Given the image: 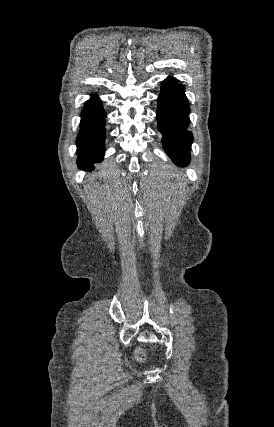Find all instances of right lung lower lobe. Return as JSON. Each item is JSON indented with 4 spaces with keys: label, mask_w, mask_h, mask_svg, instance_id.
<instances>
[{
    "label": "right lung lower lobe",
    "mask_w": 274,
    "mask_h": 427,
    "mask_svg": "<svg viewBox=\"0 0 274 427\" xmlns=\"http://www.w3.org/2000/svg\"><path fill=\"white\" fill-rule=\"evenodd\" d=\"M81 129L77 137L78 166L91 171L104 155L105 112L98 98L87 101L82 112Z\"/></svg>",
    "instance_id": "1"
}]
</instances>
